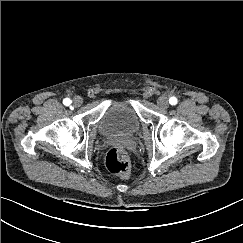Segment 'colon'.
<instances>
[{
  "label": "colon",
  "instance_id": "obj_1",
  "mask_svg": "<svg viewBox=\"0 0 243 243\" xmlns=\"http://www.w3.org/2000/svg\"><path fill=\"white\" fill-rule=\"evenodd\" d=\"M108 170L120 177L127 178L130 174L131 166L125 151L119 147H112L108 150L105 158Z\"/></svg>",
  "mask_w": 243,
  "mask_h": 243
}]
</instances>
